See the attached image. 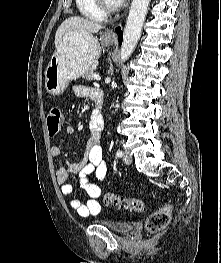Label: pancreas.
<instances>
[{
	"mask_svg": "<svg viewBox=\"0 0 221 263\" xmlns=\"http://www.w3.org/2000/svg\"><path fill=\"white\" fill-rule=\"evenodd\" d=\"M97 68V63H94L83 75L86 80H93L95 75V69Z\"/></svg>",
	"mask_w": 221,
	"mask_h": 263,
	"instance_id": "pancreas-1",
	"label": "pancreas"
}]
</instances>
